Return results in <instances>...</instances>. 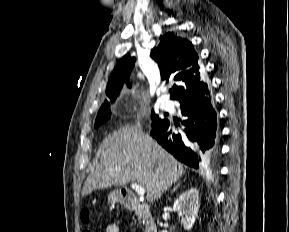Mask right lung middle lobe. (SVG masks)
Returning <instances> with one entry per match:
<instances>
[{
    "mask_svg": "<svg viewBox=\"0 0 289 232\" xmlns=\"http://www.w3.org/2000/svg\"><path fill=\"white\" fill-rule=\"evenodd\" d=\"M116 97L111 98V102H114ZM111 116L110 111V103L105 101V103L101 106L95 121V128L100 126L102 123L106 122ZM164 119H160L154 112H152V127H155L162 123Z\"/></svg>",
    "mask_w": 289,
    "mask_h": 232,
    "instance_id": "right-lung-middle-lobe-1",
    "label": "right lung middle lobe"
}]
</instances>
